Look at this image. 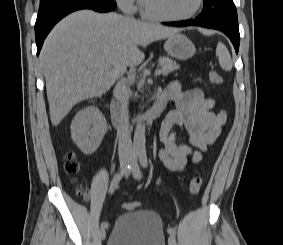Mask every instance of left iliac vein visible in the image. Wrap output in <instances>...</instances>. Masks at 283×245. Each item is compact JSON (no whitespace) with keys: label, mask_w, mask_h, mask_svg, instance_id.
<instances>
[{"label":"left iliac vein","mask_w":283,"mask_h":245,"mask_svg":"<svg viewBox=\"0 0 283 245\" xmlns=\"http://www.w3.org/2000/svg\"><path fill=\"white\" fill-rule=\"evenodd\" d=\"M132 174H133V177L137 180L141 179V177H142V174H141V171L139 169V165L137 163V160H135L134 163H133ZM168 245H176V239H175L174 236H172V235L169 236Z\"/></svg>","instance_id":"4c4485c4"}]
</instances>
